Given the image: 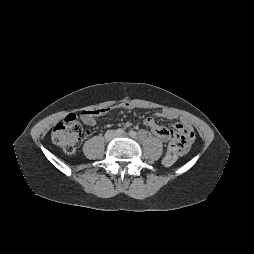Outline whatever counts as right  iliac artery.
<instances>
[{"instance_id": "right-iliac-artery-1", "label": "right iliac artery", "mask_w": 254, "mask_h": 254, "mask_svg": "<svg viewBox=\"0 0 254 254\" xmlns=\"http://www.w3.org/2000/svg\"><path fill=\"white\" fill-rule=\"evenodd\" d=\"M116 133L118 135H122L124 133V130L119 128V129L116 130Z\"/></svg>"}]
</instances>
